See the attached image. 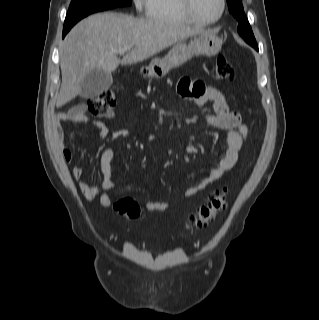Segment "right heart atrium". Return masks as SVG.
I'll return each instance as SVG.
<instances>
[{
  "label": "right heart atrium",
  "instance_id": "right-heart-atrium-1",
  "mask_svg": "<svg viewBox=\"0 0 319 320\" xmlns=\"http://www.w3.org/2000/svg\"><path fill=\"white\" fill-rule=\"evenodd\" d=\"M151 0H133L134 6L137 11L144 12L149 8Z\"/></svg>",
  "mask_w": 319,
  "mask_h": 320
}]
</instances>
